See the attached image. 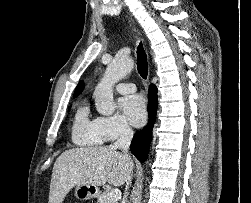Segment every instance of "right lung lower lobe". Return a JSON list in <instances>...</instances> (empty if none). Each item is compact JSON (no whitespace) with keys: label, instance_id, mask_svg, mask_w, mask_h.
Here are the masks:
<instances>
[{"label":"right lung lower lobe","instance_id":"right-lung-lower-lobe-1","mask_svg":"<svg viewBox=\"0 0 251 203\" xmlns=\"http://www.w3.org/2000/svg\"><path fill=\"white\" fill-rule=\"evenodd\" d=\"M149 104V122L147 126L137 131L133 137L130 145L131 152L137 157L140 162H144L147 159L149 153V146L152 139L153 125L156 119L157 112V88L154 84H150L148 90Z\"/></svg>","mask_w":251,"mask_h":203}]
</instances>
